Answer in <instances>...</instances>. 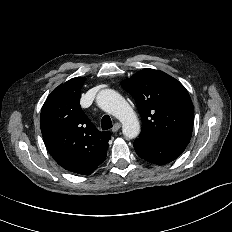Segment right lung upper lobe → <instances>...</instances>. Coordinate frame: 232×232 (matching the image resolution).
I'll return each mask as SVG.
<instances>
[{"label": "right lung upper lobe", "instance_id": "right-lung-upper-lobe-1", "mask_svg": "<svg viewBox=\"0 0 232 232\" xmlns=\"http://www.w3.org/2000/svg\"><path fill=\"white\" fill-rule=\"evenodd\" d=\"M85 78H73L47 97L40 116L42 136L54 160L81 175L93 172L106 158L109 131H98L79 100Z\"/></svg>", "mask_w": 232, "mask_h": 232}]
</instances>
